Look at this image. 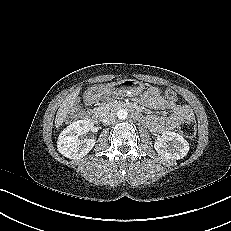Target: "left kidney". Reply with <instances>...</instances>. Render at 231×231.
<instances>
[{
  "label": "left kidney",
  "mask_w": 231,
  "mask_h": 231,
  "mask_svg": "<svg viewBox=\"0 0 231 231\" xmlns=\"http://www.w3.org/2000/svg\"><path fill=\"white\" fill-rule=\"evenodd\" d=\"M154 148L161 157L178 160L187 155L189 143L183 136L172 131H164L155 142Z\"/></svg>",
  "instance_id": "left-kidney-1"
}]
</instances>
